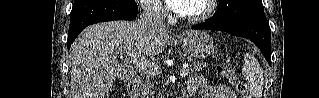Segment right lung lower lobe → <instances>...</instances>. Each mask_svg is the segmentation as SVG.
<instances>
[{"instance_id":"obj_1","label":"right lung lower lobe","mask_w":319,"mask_h":98,"mask_svg":"<svg viewBox=\"0 0 319 98\" xmlns=\"http://www.w3.org/2000/svg\"><path fill=\"white\" fill-rule=\"evenodd\" d=\"M138 6L122 0H83L75 2L70 14L68 49L88 25L111 20H134Z\"/></svg>"}]
</instances>
